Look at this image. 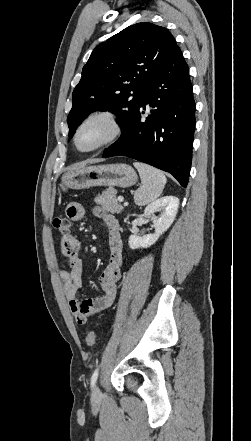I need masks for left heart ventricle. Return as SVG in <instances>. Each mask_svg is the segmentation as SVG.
I'll return each instance as SVG.
<instances>
[{"mask_svg":"<svg viewBox=\"0 0 251 441\" xmlns=\"http://www.w3.org/2000/svg\"><path fill=\"white\" fill-rule=\"evenodd\" d=\"M109 133V126L102 120L87 124L80 132L78 144L82 149H88L101 142Z\"/></svg>","mask_w":251,"mask_h":441,"instance_id":"left-heart-ventricle-1","label":"left heart ventricle"}]
</instances>
